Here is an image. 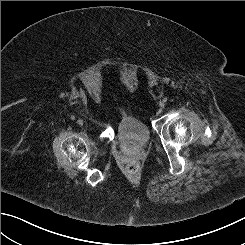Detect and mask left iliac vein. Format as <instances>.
Instances as JSON below:
<instances>
[{"instance_id":"1","label":"left iliac vein","mask_w":245,"mask_h":245,"mask_svg":"<svg viewBox=\"0 0 245 245\" xmlns=\"http://www.w3.org/2000/svg\"><path fill=\"white\" fill-rule=\"evenodd\" d=\"M164 105H165V104H164V102H163V101H160V102H159V106H160V107H162V108H163V107H164Z\"/></svg>"}]
</instances>
